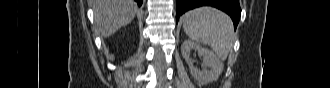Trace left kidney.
I'll return each mask as SVG.
<instances>
[{
    "mask_svg": "<svg viewBox=\"0 0 330 88\" xmlns=\"http://www.w3.org/2000/svg\"><path fill=\"white\" fill-rule=\"evenodd\" d=\"M191 50H197L198 55L203 57L202 70L193 65V60L190 57ZM181 53L193 77L202 84L216 81L223 71L224 65L217 56L211 50L201 47L196 42L191 40L184 41L181 46Z\"/></svg>",
    "mask_w": 330,
    "mask_h": 88,
    "instance_id": "1",
    "label": "left kidney"
}]
</instances>
